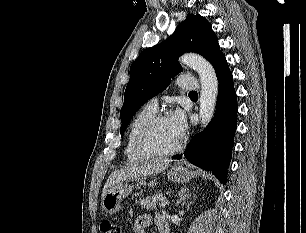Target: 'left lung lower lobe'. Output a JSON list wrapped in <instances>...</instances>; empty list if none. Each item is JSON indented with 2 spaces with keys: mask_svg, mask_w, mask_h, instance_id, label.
Segmentation results:
<instances>
[{
  "mask_svg": "<svg viewBox=\"0 0 306 233\" xmlns=\"http://www.w3.org/2000/svg\"><path fill=\"white\" fill-rule=\"evenodd\" d=\"M219 80L216 113L207 128L195 135L184 153L192 164L211 171L226 183L237 123V100L233 77L224 54L212 64ZM181 159L182 155L173 157Z\"/></svg>",
  "mask_w": 306,
  "mask_h": 233,
  "instance_id": "left-lung-lower-lobe-1",
  "label": "left lung lower lobe"
}]
</instances>
